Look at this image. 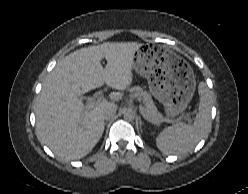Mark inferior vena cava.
<instances>
[{
    "label": "inferior vena cava",
    "mask_w": 248,
    "mask_h": 194,
    "mask_svg": "<svg viewBox=\"0 0 248 194\" xmlns=\"http://www.w3.org/2000/svg\"><path fill=\"white\" fill-rule=\"evenodd\" d=\"M116 110H117V108L114 106L107 108L104 111V119H106V120L112 119L116 114Z\"/></svg>",
    "instance_id": "1"
}]
</instances>
